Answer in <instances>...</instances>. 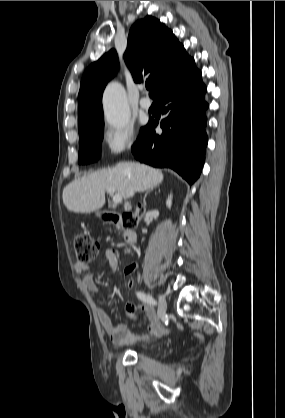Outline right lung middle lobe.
<instances>
[{"mask_svg":"<svg viewBox=\"0 0 285 418\" xmlns=\"http://www.w3.org/2000/svg\"><path fill=\"white\" fill-rule=\"evenodd\" d=\"M79 153L78 163L88 164L97 161L100 156L101 141L104 132V118L78 125Z\"/></svg>","mask_w":285,"mask_h":418,"instance_id":"obj_1","label":"right lung middle lobe"}]
</instances>
